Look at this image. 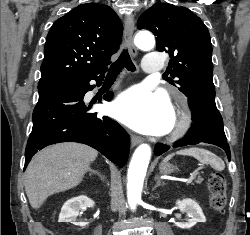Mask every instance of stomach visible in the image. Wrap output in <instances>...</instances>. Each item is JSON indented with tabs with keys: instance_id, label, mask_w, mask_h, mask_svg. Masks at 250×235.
<instances>
[{
	"instance_id": "stomach-1",
	"label": "stomach",
	"mask_w": 250,
	"mask_h": 235,
	"mask_svg": "<svg viewBox=\"0 0 250 235\" xmlns=\"http://www.w3.org/2000/svg\"><path fill=\"white\" fill-rule=\"evenodd\" d=\"M159 170L162 174H170L175 170V167L167 161H164L160 164Z\"/></svg>"
}]
</instances>
